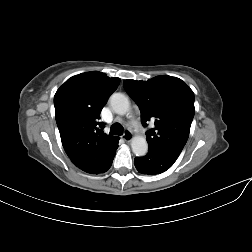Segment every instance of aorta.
<instances>
[{
	"instance_id": "1",
	"label": "aorta",
	"mask_w": 252,
	"mask_h": 252,
	"mask_svg": "<svg viewBox=\"0 0 252 252\" xmlns=\"http://www.w3.org/2000/svg\"><path fill=\"white\" fill-rule=\"evenodd\" d=\"M110 104L115 113L124 115L130 110V102L122 93H114L110 97ZM132 151L136 156H144L148 151V144L143 136H135L131 140Z\"/></svg>"
}]
</instances>
